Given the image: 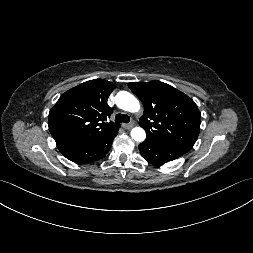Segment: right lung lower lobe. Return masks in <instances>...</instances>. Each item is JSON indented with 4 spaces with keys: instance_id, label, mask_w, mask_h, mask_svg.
<instances>
[{
    "instance_id": "right-lung-lower-lobe-1",
    "label": "right lung lower lobe",
    "mask_w": 253,
    "mask_h": 253,
    "mask_svg": "<svg viewBox=\"0 0 253 253\" xmlns=\"http://www.w3.org/2000/svg\"><path fill=\"white\" fill-rule=\"evenodd\" d=\"M117 134L118 130L112 132L111 134L105 135L93 142L79 146L63 155L75 163H92L98 159L105 157V155L109 152L111 144Z\"/></svg>"
}]
</instances>
